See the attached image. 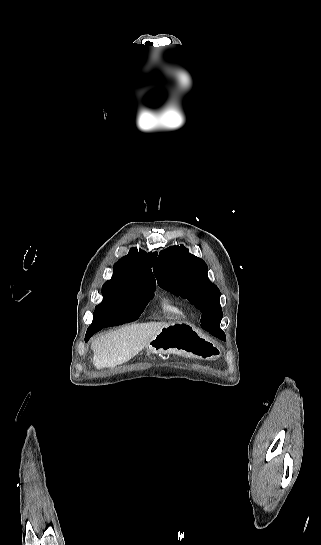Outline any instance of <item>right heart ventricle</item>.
Returning a JSON list of instances; mask_svg holds the SVG:
<instances>
[{
  "instance_id": "1",
  "label": "right heart ventricle",
  "mask_w": 321,
  "mask_h": 545,
  "mask_svg": "<svg viewBox=\"0 0 321 545\" xmlns=\"http://www.w3.org/2000/svg\"><path fill=\"white\" fill-rule=\"evenodd\" d=\"M160 308L173 320H184L186 318V311L183 305L168 298L160 300Z\"/></svg>"
}]
</instances>
